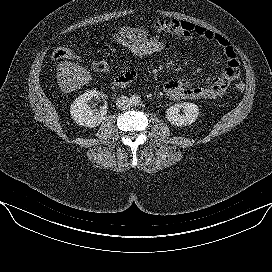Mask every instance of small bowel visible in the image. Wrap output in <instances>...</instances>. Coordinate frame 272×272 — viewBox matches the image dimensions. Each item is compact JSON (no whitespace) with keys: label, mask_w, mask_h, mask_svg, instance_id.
Listing matches in <instances>:
<instances>
[{"label":"small bowel","mask_w":272,"mask_h":272,"mask_svg":"<svg viewBox=\"0 0 272 272\" xmlns=\"http://www.w3.org/2000/svg\"><path fill=\"white\" fill-rule=\"evenodd\" d=\"M115 32L123 36L135 38L160 37L161 34L167 33L184 42L190 41L194 36H199L220 47L226 66L215 77L205 79L203 85H194L192 82L184 79L169 80L162 84V89L166 96L173 100L218 99L225 94L230 83L239 77V62L233 46L224 36L202 25L182 20H160L154 24L153 33H150L144 26H121ZM197 74H199L198 71ZM124 75L132 79L135 77L133 71Z\"/></svg>","instance_id":"small-bowel-1"}]
</instances>
